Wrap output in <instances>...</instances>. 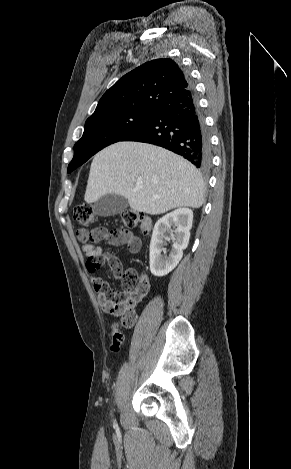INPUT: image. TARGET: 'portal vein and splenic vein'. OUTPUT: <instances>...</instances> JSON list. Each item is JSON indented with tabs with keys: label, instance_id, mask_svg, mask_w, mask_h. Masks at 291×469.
Here are the masks:
<instances>
[{
	"label": "portal vein and splenic vein",
	"instance_id": "obj_1",
	"mask_svg": "<svg viewBox=\"0 0 291 469\" xmlns=\"http://www.w3.org/2000/svg\"><path fill=\"white\" fill-rule=\"evenodd\" d=\"M136 188H137V189H141V188H142V184H141V183H137Z\"/></svg>",
	"mask_w": 291,
	"mask_h": 469
}]
</instances>
